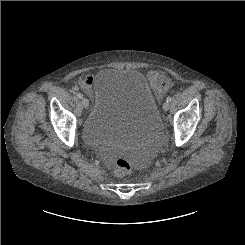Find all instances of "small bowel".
Masks as SVG:
<instances>
[{"instance_id": "obj_1", "label": "small bowel", "mask_w": 245, "mask_h": 245, "mask_svg": "<svg viewBox=\"0 0 245 245\" xmlns=\"http://www.w3.org/2000/svg\"><path fill=\"white\" fill-rule=\"evenodd\" d=\"M147 77H148V81L151 85V88L160 97L163 96L165 94V92L170 87V84H171L170 80L168 78L161 77L156 72H149L147 74ZM91 84H92V78L86 77L81 81L80 86L86 92L90 93L91 92Z\"/></svg>"}]
</instances>
